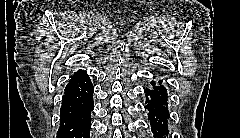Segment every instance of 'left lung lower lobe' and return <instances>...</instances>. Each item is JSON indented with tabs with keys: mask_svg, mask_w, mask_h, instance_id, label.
Segmentation results:
<instances>
[{
	"mask_svg": "<svg viewBox=\"0 0 240 138\" xmlns=\"http://www.w3.org/2000/svg\"><path fill=\"white\" fill-rule=\"evenodd\" d=\"M156 86L152 81L153 89L146 88V103L145 109L149 111L148 119L151 123V130L157 138L168 137L167 118L169 116L167 108V92L166 88L161 85Z\"/></svg>",
	"mask_w": 240,
	"mask_h": 138,
	"instance_id": "1",
	"label": "left lung lower lobe"
}]
</instances>
